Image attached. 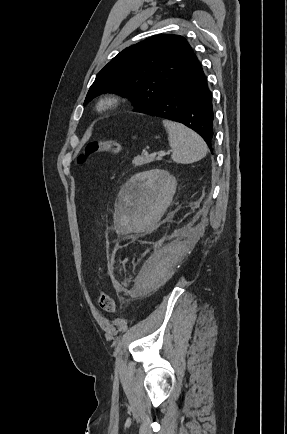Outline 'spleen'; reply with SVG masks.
I'll return each instance as SVG.
<instances>
[{"instance_id":"spleen-1","label":"spleen","mask_w":287,"mask_h":434,"mask_svg":"<svg viewBox=\"0 0 287 434\" xmlns=\"http://www.w3.org/2000/svg\"><path fill=\"white\" fill-rule=\"evenodd\" d=\"M168 133L169 145L172 148V160L176 163L188 164L201 160L208 152L205 141L194 131L180 123L163 120Z\"/></svg>"}]
</instances>
